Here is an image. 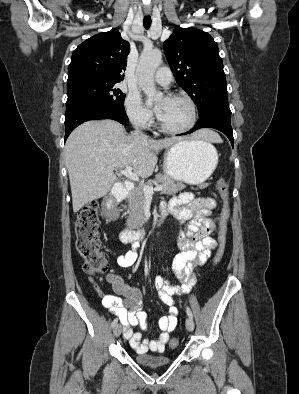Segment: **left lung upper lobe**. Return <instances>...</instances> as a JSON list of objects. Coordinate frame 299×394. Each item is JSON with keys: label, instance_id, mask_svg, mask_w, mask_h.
<instances>
[{"label": "left lung upper lobe", "instance_id": "left-lung-upper-lobe-1", "mask_svg": "<svg viewBox=\"0 0 299 394\" xmlns=\"http://www.w3.org/2000/svg\"><path fill=\"white\" fill-rule=\"evenodd\" d=\"M163 48L176 82L193 99L199 114L214 103L228 101L223 62L211 35L178 26Z\"/></svg>", "mask_w": 299, "mask_h": 394}]
</instances>
